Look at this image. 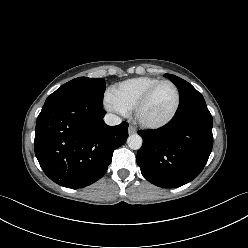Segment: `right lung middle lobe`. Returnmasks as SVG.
<instances>
[{"mask_svg": "<svg viewBox=\"0 0 248 248\" xmlns=\"http://www.w3.org/2000/svg\"><path fill=\"white\" fill-rule=\"evenodd\" d=\"M105 81L102 78H75L53 92L45 102L60 98H80L97 106H103Z\"/></svg>", "mask_w": 248, "mask_h": 248, "instance_id": "obj_1", "label": "right lung middle lobe"}]
</instances>
